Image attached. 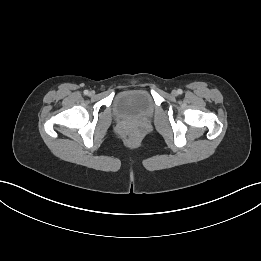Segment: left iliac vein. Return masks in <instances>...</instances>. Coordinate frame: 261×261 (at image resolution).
<instances>
[{
    "mask_svg": "<svg viewBox=\"0 0 261 261\" xmlns=\"http://www.w3.org/2000/svg\"><path fill=\"white\" fill-rule=\"evenodd\" d=\"M172 95H173V96H176V95H177V91H176V90H173V91H172Z\"/></svg>",
    "mask_w": 261,
    "mask_h": 261,
    "instance_id": "obj_1",
    "label": "left iliac vein"
}]
</instances>
